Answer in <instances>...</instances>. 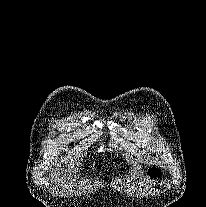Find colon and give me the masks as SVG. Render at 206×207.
<instances>
[{
	"label": "colon",
	"mask_w": 206,
	"mask_h": 207,
	"mask_svg": "<svg viewBox=\"0 0 206 207\" xmlns=\"http://www.w3.org/2000/svg\"><path fill=\"white\" fill-rule=\"evenodd\" d=\"M149 173H150L151 176L154 177V176H157L159 174V170H157V169H151Z\"/></svg>",
	"instance_id": "5ec220e1"
}]
</instances>
